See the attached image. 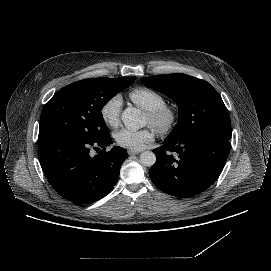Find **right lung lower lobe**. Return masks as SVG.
Returning <instances> with one entry per match:
<instances>
[{
  "mask_svg": "<svg viewBox=\"0 0 271 271\" xmlns=\"http://www.w3.org/2000/svg\"><path fill=\"white\" fill-rule=\"evenodd\" d=\"M111 142L110 134L96 141L71 135L38 138L39 161L50 185L77 204L92 203L106 196L116 184L127 158V151L119 146L106 152L105 146ZM91 147L103 150L91 157Z\"/></svg>",
  "mask_w": 271,
  "mask_h": 271,
  "instance_id": "right-lung-lower-lobe-1",
  "label": "right lung lower lobe"
}]
</instances>
